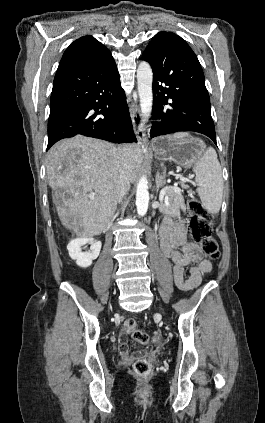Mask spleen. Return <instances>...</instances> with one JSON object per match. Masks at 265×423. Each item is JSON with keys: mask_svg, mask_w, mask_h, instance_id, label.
<instances>
[{"mask_svg": "<svg viewBox=\"0 0 265 423\" xmlns=\"http://www.w3.org/2000/svg\"><path fill=\"white\" fill-rule=\"evenodd\" d=\"M187 132L175 133L172 137L182 139L189 137ZM195 182L204 208L211 214H217L221 208L223 196V179L220 163L214 148L208 147L195 164Z\"/></svg>", "mask_w": 265, "mask_h": 423, "instance_id": "3e777b00", "label": "spleen"}]
</instances>
